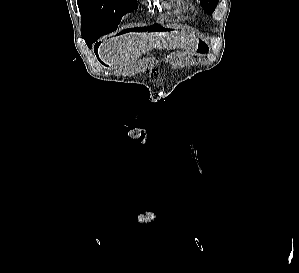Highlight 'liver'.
I'll return each instance as SVG.
<instances>
[{
  "label": "liver",
  "mask_w": 299,
  "mask_h": 273,
  "mask_svg": "<svg viewBox=\"0 0 299 273\" xmlns=\"http://www.w3.org/2000/svg\"><path fill=\"white\" fill-rule=\"evenodd\" d=\"M196 39L185 31H174L165 35L149 33H128L119 37L111 36L104 40L100 47L102 59L111 65H123L133 62L142 53L153 48L194 49Z\"/></svg>",
  "instance_id": "1"
}]
</instances>
